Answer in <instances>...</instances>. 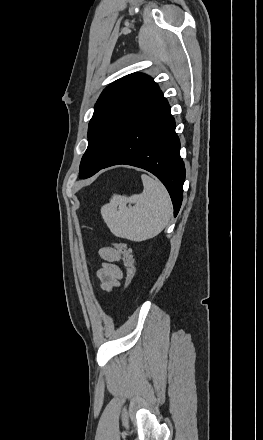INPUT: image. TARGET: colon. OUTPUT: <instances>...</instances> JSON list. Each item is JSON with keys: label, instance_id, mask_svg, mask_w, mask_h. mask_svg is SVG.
<instances>
[{"label": "colon", "instance_id": "obj_1", "mask_svg": "<svg viewBox=\"0 0 263 440\" xmlns=\"http://www.w3.org/2000/svg\"><path fill=\"white\" fill-rule=\"evenodd\" d=\"M114 248L122 256L123 264L127 270V276H128L127 282H128V285H130L136 276V264H135V260L132 256V250H131L130 246L126 242H123V241L115 242Z\"/></svg>", "mask_w": 263, "mask_h": 440}]
</instances>
